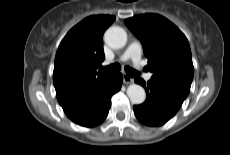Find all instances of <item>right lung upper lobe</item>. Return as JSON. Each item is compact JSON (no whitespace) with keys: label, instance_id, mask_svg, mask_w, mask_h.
<instances>
[{"label":"right lung upper lobe","instance_id":"cb5924a9","mask_svg":"<svg viewBox=\"0 0 230 155\" xmlns=\"http://www.w3.org/2000/svg\"><path fill=\"white\" fill-rule=\"evenodd\" d=\"M114 20L110 15L89 16L74 26L60 43L53 83L62 107L86 98L114 75L97 71L105 58L103 33Z\"/></svg>","mask_w":230,"mask_h":155}]
</instances>
